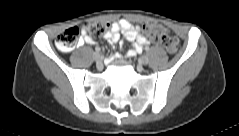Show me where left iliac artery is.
I'll return each mask as SVG.
<instances>
[{"instance_id":"obj_1","label":"left iliac artery","mask_w":239,"mask_h":136,"mask_svg":"<svg viewBox=\"0 0 239 136\" xmlns=\"http://www.w3.org/2000/svg\"><path fill=\"white\" fill-rule=\"evenodd\" d=\"M146 51H150V47H146Z\"/></svg>"}]
</instances>
